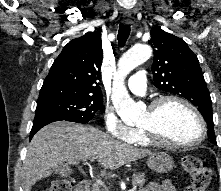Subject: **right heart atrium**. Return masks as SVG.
<instances>
[{"instance_id": "d8ad5b80", "label": "right heart atrium", "mask_w": 221, "mask_h": 191, "mask_svg": "<svg viewBox=\"0 0 221 191\" xmlns=\"http://www.w3.org/2000/svg\"><path fill=\"white\" fill-rule=\"evenodd\" d=\"M103 123L107 133L119 140L130 142L135 134L133 129L122 122L115 110L107 106L103 113Z\"/></svg>"}]
</instances>
